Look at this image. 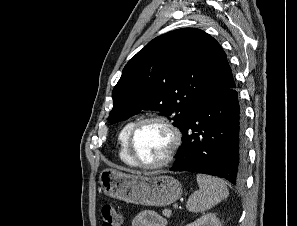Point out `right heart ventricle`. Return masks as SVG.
<instances>
[{
	"mask_svg": "<svg viewBox=\"0 0 297 226\" xmlns=\"http://www.w3.org/2000/svg\"><path fill=\"white\" fill-rule=\"evenodd\" d=\"M135 123V120L128 121L120 130L119 135H118V142H119V158L121 159L122 162L129 166H136L132 159L130 158L128 151H127V137L128 133Z\"/></svg>",
	"mask_w": 297,
	"mask_h": 226,
	"instance_id": "right-heart-ventricle-1",
	"label": "right heart ventricle"
}]
</instances>
